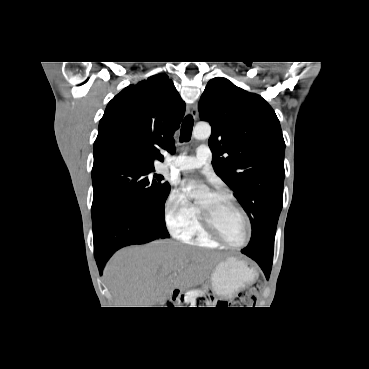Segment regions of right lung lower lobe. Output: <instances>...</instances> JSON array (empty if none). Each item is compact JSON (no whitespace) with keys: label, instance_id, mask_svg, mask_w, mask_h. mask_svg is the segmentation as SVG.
Returning <instances> with one entry per match:
<instances>
[{"label":"right lung lower lobe","instance_id":"obj_1","mask_svg":"<svg viewBox=\"0 0 369 369\" xmlns=\"http://www.w3.org/2000/svg\"><path fill=\"white\" fill-rule=\"evenodd\" d=\"M94 255L102 274L107 260L118 249L165 238L156 232L142 212L125 206H113L93 224Z\"/></svg>","mask_w":369,"mask_h":369}]
</instances>
